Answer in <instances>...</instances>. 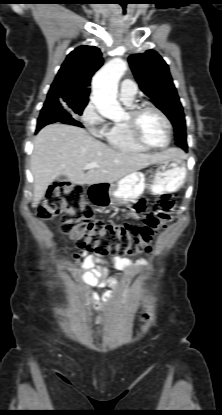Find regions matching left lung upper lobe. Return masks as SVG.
<instances>
[{"label":"left lung upper lobe","mask_w":222,"mask_h":415,"mask_svg":"<svg viewBox=\"0 0 222 415\" xmlns=\"http://www.w3.org/2000/svg\"><path fill=\"white\" fill-rule=\"evenodd\" d=\"M128 61L140 89L169 118L174 127L176 145L184 149L187 147L185 117L168 65L153 50L133 54Z\"/></svg>","instance_id":"left-lung-upper-lobe-1"}]
</instances>
